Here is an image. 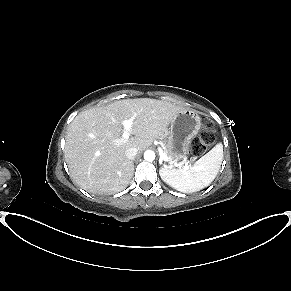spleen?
<instances>
[{"label":"spleen","mask_w":291,"mask_h":291,"mask_svg":"<svg viewBox=\"0 0 291 291\" xmlns=\"http://www.w3.org/2000/svg\"><path fill=\"white\" fill-rule=\"evenodd\" d=\"M223 158V146L218 143L194 165L184 168H162L160 176L171 187L184 193L199 191L209 186L217 176Z\"/></svg>","instance_id":"obj_1"}]
</instances>
